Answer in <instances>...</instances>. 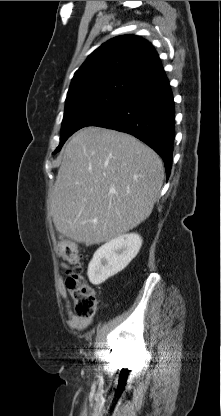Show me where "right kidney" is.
Returning <instances> with one entry per match:
<instances>
[{"label": "right kidney", "mask_w": 221, "mask_h": 416, "mask_svg": "<svg viewBox=\"0 0 221 416\" xmlns=\"http://www.w3.org/2000/svg\"><path fill=\"white\" fill-rule=\"evenodd\" d=\"M142 246V238L136 233L118 236L97 249L88 266V278L99 285L122 271Z\"/></svg>", "instance_id": "obj_1"}]
</instances>
